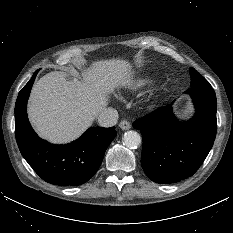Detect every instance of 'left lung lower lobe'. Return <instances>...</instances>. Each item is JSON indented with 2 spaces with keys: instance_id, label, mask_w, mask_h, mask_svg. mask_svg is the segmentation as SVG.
Returning <instances> with one entry per match:
<instances>
[{
  "instance_id": "obj_1",
  "label": "left lung lower lobe",
  "mask_w": 233,
  "mask_h": 233,
  "mask_svg": "<svg viewBox=\"0 0 233 233\" xmlns=\"http://www.w3.org/2000/svg\"><path fill=\"white\" fill-rule=\"evenodd\" d=\"M196 113L178 122L171 105L135 121L143 138L141 165L154 182L169 184L192 176L211 150L217 131V100L211 86L191 87Z\"/></svg>"
}]
</instances>
